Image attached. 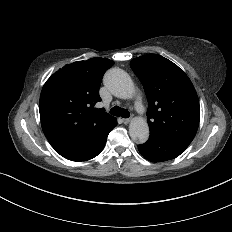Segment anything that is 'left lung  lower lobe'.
Returning a JSON list of instances; mask_svg holds the SVG:
<instances>
[{
    "mask_svg": "<svg viewBox=\"0 0 232 232\" xmlns=\"http://www.w3.org/2000/svg\"><path fill=\"white\" fill-rule=\"evenodd\" d=\"M138 149L147 160L162 162L178 157L186 148L158 135L150 134L148 141L138 145Z\"/></svg>",
    "mask_w": 232,
    "mask_h": 232,
    "instance_id": "left-lung-lower-lobe-1",
    "label": "left lung lower lobe"
}]
</instances>
